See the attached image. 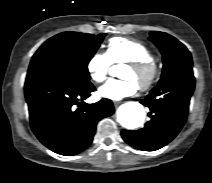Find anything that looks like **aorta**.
Wrapping results in <instances>:
<instances>
[{
    "mask_svg": "<svg viewBox=\"0 0 212 183\" xmlns=\"http://www.w3.org/2000/svg\"><path fill=\"white\" fill-rule=\"evenodd\" d=\"M145 111L138 102H128L121 105L117 111L118 122L127 129H136L143 125Z\"/></svg>",
    "mask_w": 212,
    "mask_h": 183,
    "instance_id": "obj_1",
    "label": "aorta"
}]
</instances>
